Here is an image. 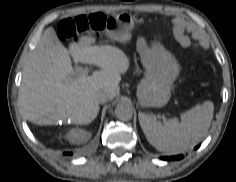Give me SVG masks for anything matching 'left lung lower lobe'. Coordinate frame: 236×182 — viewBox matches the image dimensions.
I'll return each instance as SVG.
<instances>
[{"mask_svg": "<svg viewBox=\"0 0 236 182\" xmlns=\"http://www.w3.org/2000/svg\"><path fill=\"white\" fill-rule=\"evenodd\" d=\"M199 147L196 146L195 149H197ZM183 158V155H178V156H172V157H162L161 159L163 160H179V159H182Z\"/></svg>", "mask_w": 236, "mask_h": 182, "instance_id": "left-lung-lower-lobe-1", "label": "left lung lower lobe"}]
</instances>
